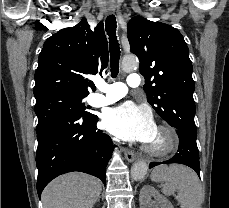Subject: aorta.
Listing matches in <instances>:
<instances>
[{
    "label": "aorta",
    "instance_id": "obj_1",
    "mask_svg": "<svg viewBox=\"0 0 229 208\" xmlns=\"http://www.w3.org/2000/svg\"><path fill=\"white\" fill-rule=\"evenodd\" d=\"M138 66V60L135 56H127L123 58L122 69L125 72H131L136 70ZM148 170V165L145 161H137L133 164L131 168V178L134 181L142 180Z\"/></svg>",
    "mask_w": 229,
    "mask_h": 208
}]
</instances>
